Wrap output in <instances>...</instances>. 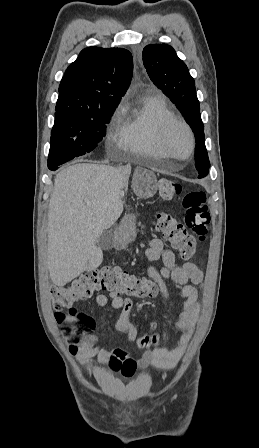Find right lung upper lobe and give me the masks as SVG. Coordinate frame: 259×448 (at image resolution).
<instances>
[{"mask_svg": "<svg viewBox=\"0 0 259 448\" xmlns=\"http://www.w3.org/2000/svg\"><path fill=\"white\" fill-rule=\"evenodd\" d=\"M132 72V55L126 49H83L61 80L56 113L116 108L129 87Z\"/></svg>", "mask_w": 259, "mask_h": 448, "instance_id": "obj_1", "label": "right lung upper lobe"}]
</instances>
